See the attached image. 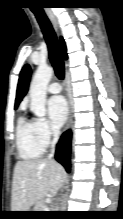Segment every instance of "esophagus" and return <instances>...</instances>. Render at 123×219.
<instances>
[{
	"mask_svg": "<svg viewBox=\"0 0 123 219\" xmlns=\"http://www.w3.org/2000/svg\"><path fill=\"white\" fill-rule=\"evenodd\" d=\"M54 28L57 30L58 29V23L56 20V17L54 16V14L52 12H48L47 13ZM65 87H66V94H67V101H68V120H67V124L65 129H69L71 124H72V118H73V103H72V99H71V95H70V88H69V79L68 76H65Z\"/></svg>",
	"mask_w": 123,
	"mask_h": 219,
	"instance_id": "34e87169",
	"label": "esophagus"
}]
</instances>
